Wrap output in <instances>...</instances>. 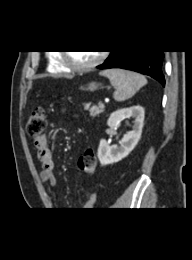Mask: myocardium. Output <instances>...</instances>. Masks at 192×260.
<instances>
[{
	"mask_svg": "<svg viewBox=\"0 0 192 260\" xmlns=\"http://www.w3.org/2000/svg\"><path fill=\"white\" fill-rule=\"evenodd\" d=\"M61 61L65 67H67L69 70L75 71V72H86L94 69L98 65H100L104 60V55L100 54L94 61L86 64V65H77L74 64L70 58L69 54L67 52H62L60 55Z\"/></svg>",
	"mask_w": 192,
	"mask_h": 260,
	"instance_id": "obj_1",
	"label": "myocardium"
}]
</instances>
